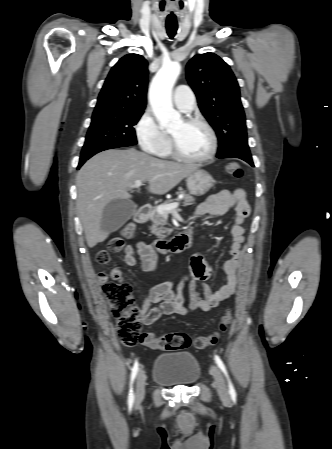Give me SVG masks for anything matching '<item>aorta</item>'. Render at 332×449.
<instances>
[{
    "instance_id": "obj_1",
    "label": "aorta",
    "mask_w": 332,
    "mask_h": 449,
    "mask_svg": "<svg viewBox=\"0 0 332 449\" xmlns=\"http://www.w3.org/2000/svg\"><path fill=\"white\" fill-rule=\"evenodd\" d=\"M180 71L178 62L163 64L149 88L150 105L162 128L171 129L181 123V116L172 105V89Z\"/></svg>"
}]
</instances>
